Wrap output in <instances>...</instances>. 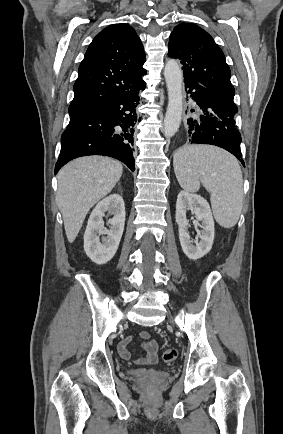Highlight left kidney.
I'll use <instances>...</instances> for the list:
<instances>
[{
  "instance_id": "left-kidney-1",
  "label": "left kidney",
  "mask_w": 283,
  "mask_h": 434,
  "mask_svg": "<svg viewBox=\"0 0 283 434\" xmlns=\"http://www.w3.org/2000/svg\"><path fill=\"white\" fill-rule=\"evenodd\" d=\"M191 210L201 230L198 231L199 241L190 239L188 232L189 222L186 218V211ZM176 223L178 225L179 239L183 252L192 260H197L206 255L212 248L214 240V220L208 202L197 194L181 191L176 202Z\"/></svg>"
}]
</instances>
